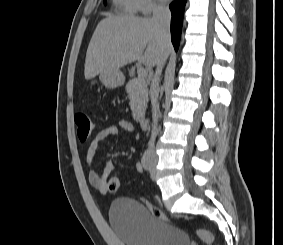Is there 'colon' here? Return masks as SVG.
I'll list each match as a JSON object with an SVG mask.
<instances>
[{
  "label": "colon",
  "instance_id": "colon-1",
  "mask_svg": "<svg viewBox=\"0 0 283 245\" xmlns=\"http://www.w3.org/2000/svg\"><path fill=\"white\" fill-rule=\"evenodd\" d=\"M75 122L77 126V136L80 142H86L94 129L91 118L86 113H79L75 116ZM119 180L117 178H110L107 184L108 192L114 193L119 188ZM145 205L148 207L150 212L157 218L168 221L167 216L163 211L153 205L150 202H145ZM195 234L205 243L212 244L214 242V235L205 229H196Z\"/></svg>",
  "mask_w": 283,
  "mask_h": 245
}]
</instances>
